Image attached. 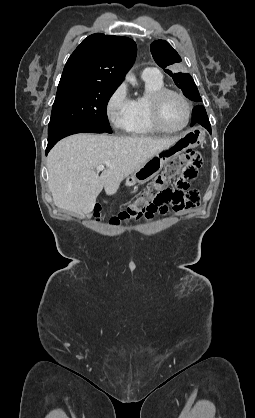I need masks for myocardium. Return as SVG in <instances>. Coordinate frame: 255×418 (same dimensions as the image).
I'll use <instances>...</instances> for the list:
<instances>
[{
  "label": "myocardium",
  "mask_w": 255,
  "mask_h": 418,
  "mask_svg": "<svg viewBox=\"0 0 255 418\" xmlns=\"http://www.w3.org/2000/svg\"><path fill=\"white\" fill-rule=\"evenodd\" d=\"M168 95H176L178 96L185 104L186 107V119L178 128H169L164 125L161 117V108L163 100ZM149 114L150 119L153 124V126L160 132L163 133H177L184 130L190 123L191 117H192V105L189 101V99L180 91L171 89V88H162L156 92H154L150 98H149Z\"/></svg>",
  "instance_id": "obj_1"
}]
</instances>
